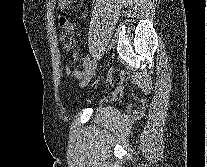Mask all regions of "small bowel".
Here are the masks:
<instances>
[{"label":"small bowel","mask_w":207,"mask_h":167,"mask_svg":"<svg viewBox=\"0 0 207 167\" xmlns=\"http://www.w3.org/2000/svg\"><path fill=\"white\" fill-rule=\"evenodd\" d=\"M73 3L74 0H58L59 7L62 10L70 8L73 5ZM60 25L63 27L65 31L71 33L68 40H66L64 33L60 34V38L64 41V48L68 51H72V58L75 62H77L79 59V54L73 50L75 46L74 26L65 17L60 18ZM86 59L87 56L83 55L82 61L84 62ZM64 72L66 75L77 79L83 76V72L81 70L77 68H71L69 66L65 67Z\"/></svg>","instance_id":"small-bowel-1"}]
</instances>
